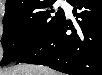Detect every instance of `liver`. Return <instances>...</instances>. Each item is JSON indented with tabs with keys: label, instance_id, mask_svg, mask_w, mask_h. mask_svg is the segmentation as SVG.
Returning a JSON list of instances; mask_svg holds the SVG:
<instances>
[{
	"label": "liver",
	"instance_id": "obj_1",
	"mask_svg": "<svg viewBox=\"0 0 102 75\" xmlns=\"http://www.w3.org/2000/svg\"><path fill=\"white\" fill-rule=\"evenodd\" d=\"M1 75H59L42 65L20 64L1 72Z\"/></svg>",
	"mask_w": 102,
	"mask_h": 75
}]
</instances>
